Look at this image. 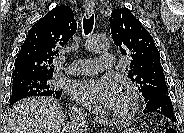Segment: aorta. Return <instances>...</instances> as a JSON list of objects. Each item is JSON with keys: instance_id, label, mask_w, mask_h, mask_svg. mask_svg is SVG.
Wrapping results in <instances>:
<instances>
[{"instance_id": "obj_1", "label": "aorta", "mask_w": 184, "mask_h": 133, "mask_svg": "<svg viewBox=\"0 0 184 133\" xmlns=\"http://www.w3.org/2000/svg\"><path fill=\"white\" fill-rule=\"evenodd\" d=\"M110 47L107 38L100 35H91L85 42V48L92 53H101L107 51Z\"/></svg>"}]
</instances>
